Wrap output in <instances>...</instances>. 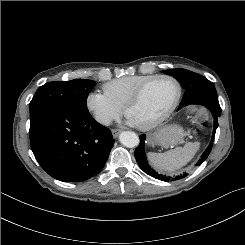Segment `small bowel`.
<instances>
[{
    "label": "small bowel",
    "instance_id": "small-bowel-1",
    "mask_svg": "<svg viewBox=\"0 0 245 245\" xmlns=\"http://www.w3.org/2000/svg\"><path fill=\"white\" fill-rule=\"evenodd\" d=\"M203 106L200 102L195 101V102H191L187 105L186 110L189 114L194 115V114H198L202 111Z\"/></svg>",
    "mask_w": 245,
    "mask_h": 245
}]
</instances>
